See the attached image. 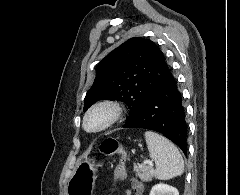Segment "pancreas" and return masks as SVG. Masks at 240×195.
Here are the masks:
<instances>
[{"label": "pancreas", "instance_id": "cf45deb5", "mask_svg": "<svg viewBox=\"0 0 240 195\" xmlns=\"http://www.w3.org/2000/svg\"><path fill=\"white\" fill-rule=\"evenodd\" d=\"M134 171L137 177H140L141 181H152V177H155L154 167L150 165H144V167H134Z\"/></svg>", "mask_w": 240, "mask_h": 195}]
</instances>
